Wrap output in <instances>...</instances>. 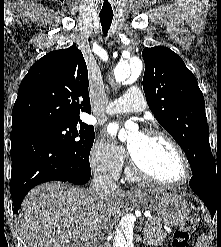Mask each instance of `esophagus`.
Returning <instances> with one entry per match:
<instances>
[{
    "label": "esophagus",
    "mask_w": 221,
    "mask_h": 247,
    "mask_svg": "<svg viewBox=\"0 0 221 247\" xmlns=\"http://www.w3.org/2000/svg\"><path fill=\"white\" fill-rule=\"evenodd\" d=\"M133 191H134V192H137V190H136V189H134Z\"/></svg>",
    "instance_id": "obj_1"
}]
</instances>
